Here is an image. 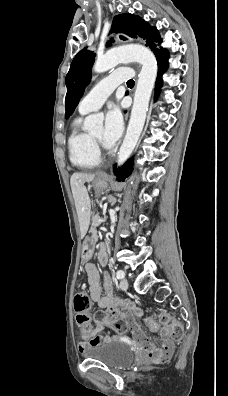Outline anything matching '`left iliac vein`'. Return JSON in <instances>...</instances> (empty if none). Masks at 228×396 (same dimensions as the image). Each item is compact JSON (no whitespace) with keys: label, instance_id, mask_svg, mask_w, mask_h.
Returning <instances> with one entry per match:
<instances>
[{"label":"left iliac vein","instance_id":"left-iliac-vein-1","mask_svg":"<svg viewBox=\"0 0 228 396\" xmlns=\"http://www.w3.org/2000/svg\"><path fill=\"white\" fill-rule=\"evenodd\" d=\"M120 288L122 290H127L128 289V281H127V279L124 278V279L121 280Z\"/></svg>","mask_w":228,"mask_h":396}]
</instances>
